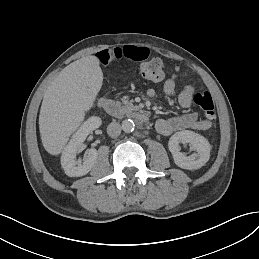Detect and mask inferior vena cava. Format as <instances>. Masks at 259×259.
Wrapping results in <instances>:
<instances>
[{"label": "inferior vena cava", "instance_id": "602c4592", "mask_svg": "<svg viewBox=\"0 0 259 259\" xmlns=\"http://www.w3.org/2000/svg\"><path fill=\"white\" fill-rule=\"evenodd\" d=\"M107 133L112 138H117L121 133V126L117 122H112L107 127Z\"/></svg>", "mask_w": 259, "mask_h": 259}]
</instances>
